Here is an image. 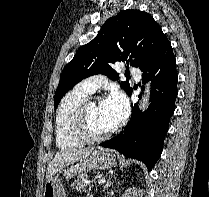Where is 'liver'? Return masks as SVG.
<instances>
[{
    "label": "liver",
    "instance_id": "1",
    "mask_svg": "<svg viewBox=\"0 0 209 197\" xmlns=\"http://www.w3.org/2000/svg\"><path fill=\"white\" fill-rule=\"evenodd\" d=\"M92 151L93 147L58 152L54 159L48 164L46 171V181L50 180L64 167L86 158Z\"/></svg>",
    "mask_w": 209,
    "mask_h": 197
}]
</instances>
